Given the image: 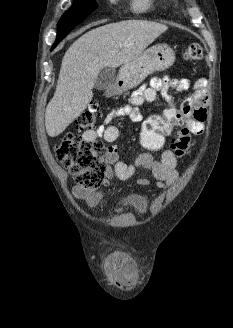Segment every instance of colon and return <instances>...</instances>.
Returning <instances> with one entry per match:
<instances>
[{
	"label": "colon",
	"mask_w": 233,
	"mask_h": 328,
	"mask_svg": "<svg viewBox=\"0 0 233 328\" xmlns=\"http://www.w3.org/2000/svg\"><path fill=\"white\" fill-rule=\"evenodd\" d=\"M202 48L191 43L185 51V58L196 61L202 57ZM100 116L97 105H90L76 119L81 131L93 130ZM191 132L183 113L168 109L163 114L150 117L141 132V145L148 151H158L165 143V136L172 135L171 150L177 157L184 156L191 146ZM56 160L74 176L77 184L87 190H96L104 182L107 164L106 150L99 141H87L75 133L64 135L54 148Z\"/></svg>",
	"instance_id": "colon-1"
}]
</instances>
